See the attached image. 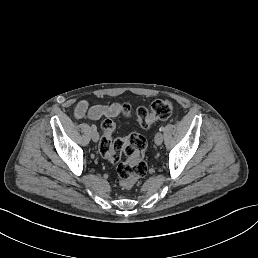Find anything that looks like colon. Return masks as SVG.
<instances>
[{"instance_id":"5ec220e1","label":"colon","mask_w":258,"mask_h":258,"mask_svg":"<svg viewBox=\"0 0 258 258\" xmlns=\"http://www.w3.org/2000/svg\"><path fill=\"white\" fill-rule=\"evenodd\" d=\"M172 102L167 99L155 100L151 107H139L134 117L143 129L149 128L158 120H166L172 113ZM121 113L125 117H131L132 108L129 104L122 105ZM102 137L99 142V152L102 157L117 164V174L120 185L128 189L146 174L147 163L145 161L146 139L139 133H132L125 138H113L116 124L112 119H105L101 123ZM126 160L121 161L122 156Z\"/></svg>"}]
</instances>
